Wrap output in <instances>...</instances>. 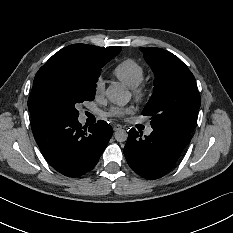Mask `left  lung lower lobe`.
<instances>
[{
    "label": "left lung lower lobe",
    "instance_id": "0a47b994",
    "mask_svg": "<svg viewBox=\"0 0 233 233\" xmlns=\"http://www.w3.org/2000/svg\"><path fill=\"white\" fill-rule=\"evenodd\" d=\"M128 135L124 147L126 160L132 170L149 180L168 173L191 140L190 134L174 131L153 130L142 137L132 128Z\"/></svg>",
    "mask_w": 233,
    "mask_h": 233
}]
</instances>
